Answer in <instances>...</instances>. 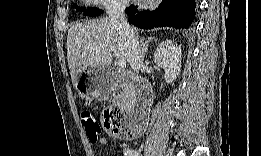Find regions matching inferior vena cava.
Returning a JSON list of instances; mask_svg holds the SVG:
<instances>
[{"mask_svg": "<svg viewBox=\"0 0 261 156\" xmlns=\"http://www.w3.org/2000/svg\"><path fill=\"white\" fill-rule=\"evenodd\" d=\"M126 6L127 1L112 0L107 5L106 11L113 26L124 37L126 41L128 62L131 68L138 73L143 65V58L135 32L125 18L124 11Z\"/></svg>", "mask_w": 261, "mask_h": 156, "instance_id": "inferior-vena-cava-1", "label": "inferior vena cava"}]
</instances>
